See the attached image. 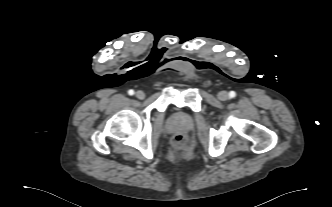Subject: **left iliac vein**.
<instances>
[{"instance_id": "left-iliac-vein-1", "label": "left iliac vein", "mask_w": 332, "mask_h": 207, "mask_svg": "<svg viewBox=\"0 0 332 207\" xmlns=\"http://www.w3.org/2000/svg\"><path fill=\"white\" fill-rule=\"evenodd\" d=\"M217 96H218V99H220L222 101H225L229 98V94L226 91H220Z\"/></svg>"}]
</instances>
